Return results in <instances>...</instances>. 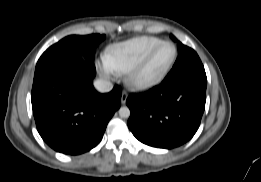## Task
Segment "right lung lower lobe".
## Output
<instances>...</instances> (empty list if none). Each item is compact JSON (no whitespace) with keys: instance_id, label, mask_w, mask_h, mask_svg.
Here are the masks:
<instances>
[{"instance_id":"1","label":"right lung lower lobe","mask_w":261,"mask_h":182,"mask_svg":"<svg viewBox=\"0 0 261 182\" xmlns=\"http://www.w3.org/2000/svg\"><path fill=\"white\" fill-rule=\"evenodd\" d=\"M94 63L67 54L36 66L31 93L37 130L55 151L77 155L102 139L121 104V88L100 94L93 87Z\"/></svg>"}]
</instances>
